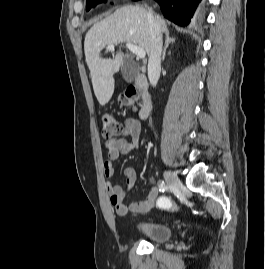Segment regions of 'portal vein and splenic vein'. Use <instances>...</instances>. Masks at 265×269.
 <instances>
[{"label": "portal vein and splenic vein", "instance_id": "1", "mask_svg": "<svg viewBox=\"0 0 265 269\" xmlns=\"http://www.w3.org/2000/svg\"><path fill=\"white\" fill-rule=\"evenodd\" d=\"M114 44L108 45L109 50H114ZM126 47L134 53L138 58L144 59L146 56V53L143 48L138 47L137 45H134L132 43H126Z\"/></svg>", "mask_w": 265, "mask_h": 269}]
</instances>
